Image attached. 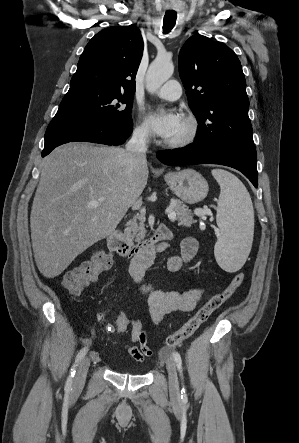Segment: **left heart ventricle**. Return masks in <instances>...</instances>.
Listing matches in <instances>:
<instances>
[{"instance_id": "1", "label": "left heart ventricle", "mask_w": 299, "mask_h": 443, "mask_svg": "<svg viewBox=\"0 0 299 443\" xmlns=\"http://www.w3.org/2000/svg\"><path fill=\"white\" fill-rule=\"evenodd\" d=\"M184 132H185V125L181 121L180 127L178 128L176 133L172 137H170L168 140L179 138L184 134Z\"/></svg>"}]
</instances>
